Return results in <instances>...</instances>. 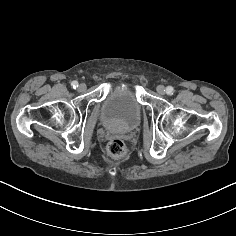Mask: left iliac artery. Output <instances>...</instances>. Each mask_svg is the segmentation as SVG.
<instances>
[{
  "mask_svg": "<svg viewBox=\"0 0 236 236\" xmlns=\"http://www.w3.org/2000/svg\"><path fill=\"white\" fill-rule=\"evenodd\" d=\"M166 93H167L168 95H172V94L174 93V88H173L172 86H168V87L166 88Z\"/></svg>",
  "mask_w": 236,
  "mask_h": 236,
  "instance_id": "44dca946",
  "label": "left iliac artery"
}]
</instances>
